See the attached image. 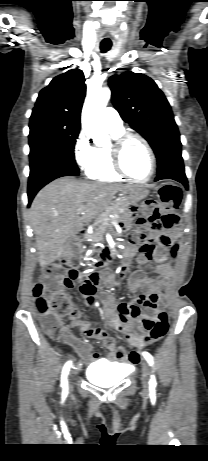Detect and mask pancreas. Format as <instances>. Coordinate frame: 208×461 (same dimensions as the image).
<instances>
[{"mask_svg":"<svg viewBox=\"0 0 208 461\" xmlns=\"http://www.w3.org/2000/svg\"><path fill=\"white\" fill-rule=\"evenodd\" d=\"M130 203L126 200H122L117 204H112L109 206L102 216L97 221V228L94 229V232L90 236L95 242H102L104 240L103 236L106 229L112 230L111 221L117 223L121 220L122 215L129 209ZM110 215H113V218H110Z\"/></svg>","mask_w":208,"mask_h":461,"instance_id":"1","label":"pancreas"}]
</instances>
